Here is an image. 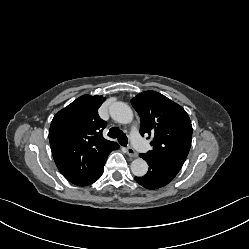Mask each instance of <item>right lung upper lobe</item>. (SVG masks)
Instances as JSON below:
<instances>
[{"mask_svg": "<svg viewBox=\"0 0 249 249\" xmlns=\"http://www.w3.org/2000/svg\"><path fill=\"white\" fill-rule=\"evenodd\" d=\"M103 96L83 95L53 118L49 141L54 161L71 183L84 186L95 175L103 157L118 144L106 140V122L98 115Z\"/></svg>", "mask_w": 249, "mask_h": 249, "instance_id": "cb5924a9", "label": "right lung upper lobe"}]
</instances>
